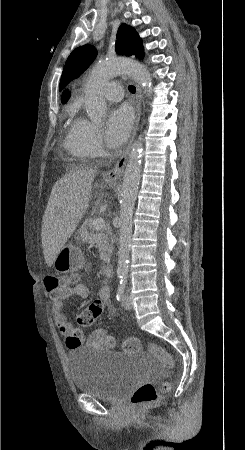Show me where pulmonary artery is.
<instances>
[{
    "label": "pulmonary artery",
    "mask_w": 245,
    "mask_h": 450,
    "mask_svg": "<svg viewBox=\"0 0 245 450\" xmlns=\"http://www.w3.org/2000/svg\"><path fill=\"white\" fill-rule=\"evenodd\" d=\"M122 84L118 81L110 80L105 83L102 88L104 97L108 101L119 102L122 100L121 89Z\"/></svg>",
    "instance_id": "pulmonary-artery-1"
}]
</instances>
